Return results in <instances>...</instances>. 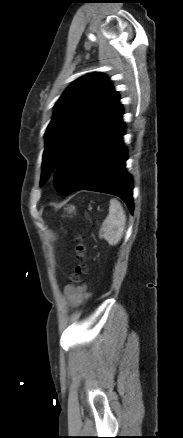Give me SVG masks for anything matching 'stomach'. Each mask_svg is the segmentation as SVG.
Instances as JSON below:
<instances>
[{
    "label": "stomach",
    "instance_id": "0dacf381",
    "mask_svg": "<svg viewBox=\"0 0 183 438\" xmlns=\"http://www.w3.org/2000/svg\"><path fill=\"white\" fill-rule=\"evenodd\" d=\"M73 209H74L73 207H70V208H69V211H73Z\"/></svg>",
    "mask_w": 183,
    "mask_h": 438
}]
</instances>
